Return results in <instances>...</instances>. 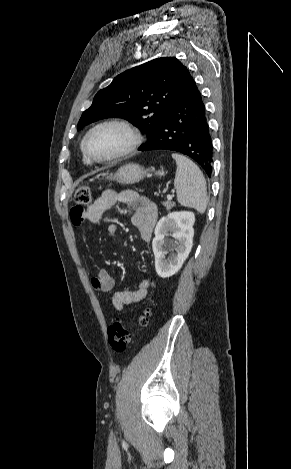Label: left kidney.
<instances>
[{
    "label": "left kidney",
    "instance_id": "5707ae66",
    "mask_svg": "<svg viewBox=\"0 0 291 469\" xmlns=\"http://www.w3.org/2000/svg\"><path fill=\"white\" fill-rule=\"evenodd\" d=\"M195 215L190 211L169 213L159 220L155 227V238L152 248L155 256V269L162 278H168L177 273L187 259L193 246ZM170 235L176 240L167 239ZM175 250L171 261L165 260L168 251Z\"/></svg>",
    "mask_w": 291,
    "mask_h": 469
}]
</instances>
